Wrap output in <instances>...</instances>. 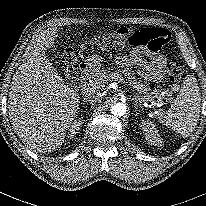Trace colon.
Here are the masks:
<instances>
[{"label":"colon","mask_w":206,"mask_h":206,"mask_svg":"<svg viewBox=\"0 0 206 206\" xmlns=\"http://www.w3.org/2000/svg\"><path fill=\"white\" fill-rule=\"evenodd\" d=\"M170 33L166 29L147 28L137 32H130L127 28L118 30L98 37V45L106 48H115L124 44L133 46H147L150 52L156 53L165 46L170 40ZM72 55L64 57V68L68 76L76 79V70L72 63ZM168 79L172 83H178L184 74V65L179 60L169 61L166 67Z\"/></svg>","instance_id":"obj_1"}]
</instances>
